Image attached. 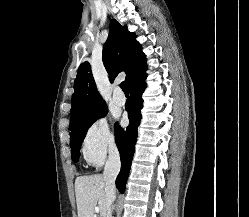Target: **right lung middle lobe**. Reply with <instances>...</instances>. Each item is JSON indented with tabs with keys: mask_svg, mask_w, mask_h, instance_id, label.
Instances as JSON below:
<instances>
[{
	"mask_svg": "<svg viewBox=\"0 0 249 217\" xmlns=\"http://www.w3.org/2000/svg\"><path fill=\"white\" fill-rule=\"evenodd\" d=\"M107 114L106 105H101L94 110L82 115L76 120L70 121V146L71 156L74 162L79 160L80 147L88 128L99 118Z\"/></svg>",
	"mask_w": 249,
	"mask_h": 217,
	"instance_id": "dd1d6c3e",
	"label": "right lung middle lobe"
}]
</instances>
